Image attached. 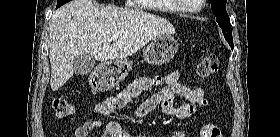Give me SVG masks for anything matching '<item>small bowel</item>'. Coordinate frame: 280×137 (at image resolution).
I'll list each match as a JSON object with an SVG mask.
<instances>
[{
  "instance_id": "c3829d8e",
  "label": "small bowel",
  "mask_w": 280,
  "mask_h": 137,
  "mask_svg": "<svg viewBox=\"0 0 280 137\" xmlns=\"http://www.w3.org/2000/svg\"><path fill=\"white\" fill-rule=\"evenodd\" d=\"M187 81L179 71L175 70L164 76L140 77L131 83L124 92H129L134 97L162 83L163 87L159 91L138 105L136 114L143 116L160 107L167 115L178 119H188L194 116L198 105H207L208 100L202 88H191L186 84ZM175 96H180L184 100V103L179 107L175 106ZM126 105L127 101L121 99V94L97 104L93 109V114L108 117L110 120L105 124L99 119L86 121L75 130L74 137H87L91 130L102 126H104V132L101 137H133L114 119L117 113ZM210 127H214V125L207 124L203 126L200 134ZM172 137H185V134L178 132L173 134Z\"/></svg>"
}]
</instances>
